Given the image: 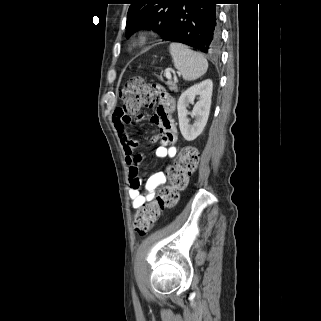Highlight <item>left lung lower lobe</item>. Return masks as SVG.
I'll return each mask as SVG.
<instances>
[{
    "instance_id": "0a47b994",
    "label": "left lung lower lobe",
    "mask_w": 321,
    "mask_h": 321,
    "mask_svg": "<svg viewBox=\"0 0 321 321\" xmlns=\"http://www.w3.org/2000/svg\"><path fill=\"white\" fill-rule=\"evenodd\" d=\"M220 0H179L163 40L179 42L208 54L217 53L221 38L216 4Z\"/></svg>"
}]
</instances>
